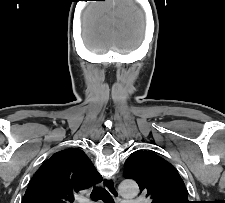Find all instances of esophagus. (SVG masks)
Segmentation results:
<instances>
[{
  "instance_id": "obj_1",
  "label": "esophagus",
  "mask_w": 225,
  "mask_h": 203,
  "mask_svg": "<svg viewBox=\"0 0 225 203\" xmlns=\"http://www.w3.org/2000/svg\"><path fill=\"white\" fill-rule=\"evenodd\" d=\"M116 183H117L116 178H110L106 183V188L112 193L113 196H116L118 198Z\"/></svg>"
}]
</instances>
